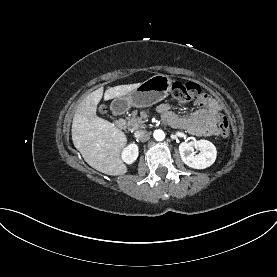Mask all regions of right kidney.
Wrapping results in <instances>:
<instances>
[{
  "instance_id": "ca27d5eb",
  "label": "right kidney",
  "mask_w": 277,
  "mask_h": 277,
  "mask_svg": "<svg viewBox=\"0 0 277 277\" xmlns=\"http://www.w3.org/2000/svg\"><path fill=\"white\" fill-rule=\"evenodd\" d=\"M138 153V146L131 143L122 151V159L127 164H132L137 159Z\"/></svg>"
}]
</instances>
